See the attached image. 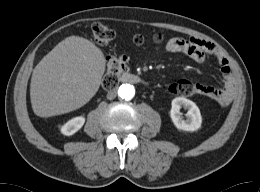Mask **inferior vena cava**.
<instances>
[{
  "label": "inferior vena cava",
  "mask_w": 260,
  "mask_h": 192,
  "mask_svg": "<svg viewBox=\"0 0 260 192\" xmlns=\"http://www.w3.org/2000/svg\"><path fill=\"white\" fill-rule=\"evenodd\" d=\"M116 96H117V92H116L115 90H112V91L108 92V94H107V99L112 100V99H114Z\"/></svg>",
  "instance_id": "obj_1"
}]
</instances>
